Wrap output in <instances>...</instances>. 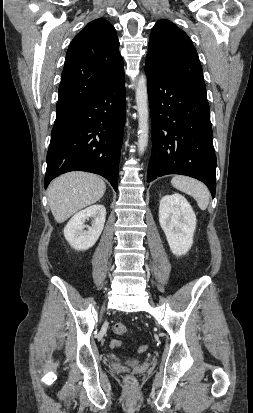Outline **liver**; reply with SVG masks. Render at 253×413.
I'll return each mask as SVG.
<instances>
[{"label":"liver","mask_w":253,"mask_h":413,"mask_svg":"<svg viewBox=\"0 0 253 413\" xmlns=\"http://www.w3.org/2000/svg\"><path fill=\"white\" fill-rule=\"evenodd\" d=\"M106 191L105 182L87 172H69L54 179L47 190L54 219L65 222L77 211L99 201Z\"/></svg>","instance_id":"liver-1"}]
</instances>
